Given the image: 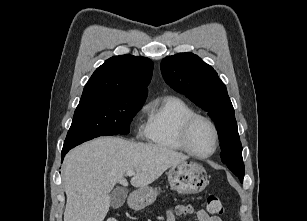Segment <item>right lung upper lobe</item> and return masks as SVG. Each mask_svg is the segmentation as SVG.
<instances>
[{"label": "right lung upper lobe", "instance_id": "right-lung-upper-lobe-1", "mask_svg": "<svg viewBox=\"0 0 307 221\" xmlns=\"http://www.w3.org/2000/svg\"><path fill=\"white\" fill-rule=\"evenodd\" d=\"M153 62L130 54L114 56L98 67L84 87L80 102L103 96L132 95L146 98Z\"/></svg>", "mask_w": 307, "mask_h": 221}]
</instances>
